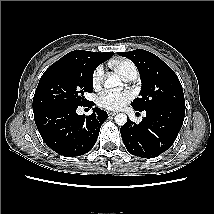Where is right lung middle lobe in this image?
<instances>
[{
	"mask_svg": "<svg viewBox=\"0 0 214 214\" xmlns=\"http://www.w3.org/2000/svg\"><path fill=\"white\" fill-rule=\"evenodd\" d=\"M96 67L77 60H58L42 75L33 97V112L50 105H82L93 90Z\"/></svg>",
	"mask_w": 214,
	"mask_h": 214,
	"instance_id": "right-lung-middle-lobe-1",
	"label": "right lung middle lobe"
}]
</instances>
